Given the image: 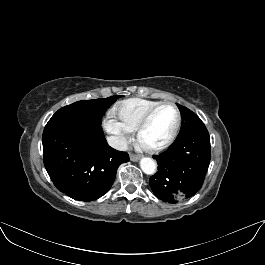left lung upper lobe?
<instances>
[{"label":"left lung upper lobe","instance_id":"1","mask_svg":"<svg viewBox=\"0 0 265 265\" xmlns=\"http://www.w3.org/2000/svg\"><path fill=\"white\" fill-rule=\"evenodd\" d=\"M177 106L182 115L181 130L178 136L186 134L194 129H197L198 127L204 126V123L200 120V118L191 110L179 104H177Z\"/></svg>","mask_w":265,"mask_h":265}]
</instances>
